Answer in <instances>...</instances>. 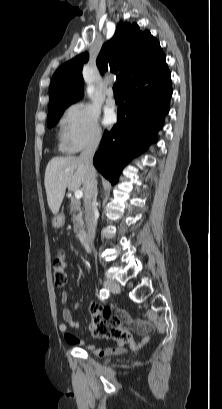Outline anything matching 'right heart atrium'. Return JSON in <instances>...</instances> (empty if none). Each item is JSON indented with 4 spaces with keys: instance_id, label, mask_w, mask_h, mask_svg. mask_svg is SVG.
Masks as SVG:
<instances>
[{
    "instance_id": "d8ad5b80",
    "label": "right heart atrium",
    "mask_w": 222,
    "mask_h": 409,
    "mask_svg": "<svg viewBox=\"0 0 222 409\" xmlns=\"http://www.w3.org/2000/svg\"><path fill=\"white\" fill-rule=\"evenodd\" d=\"M102 136L98 114L91 107L76 103L66 109L60 121V139L65 151L97 146Z\"/></svg>"
}]
</instances>
